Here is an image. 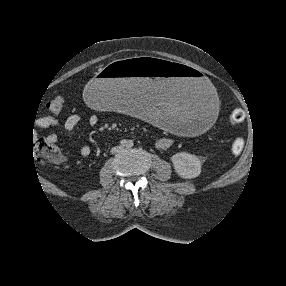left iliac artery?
Here are the masks:
<instances>
[{
    "label": "left iliac artery",
    "mask_w": 286,
    "mask_h": 286,
    "mask_svg": "<svg viewBox=\"0 0 286 286\" xmlns=\"http://www.w3.org/2000/svg\"><path fill=\"white\" fill-rule=\"evenodd\" d=\"M128 145H129L130 147H132V146L134 145L133 141L130 140V141L128 142Z\"/></svg>",
    "instance_id": "left-iliac-artery-1"
}]
</instances>
